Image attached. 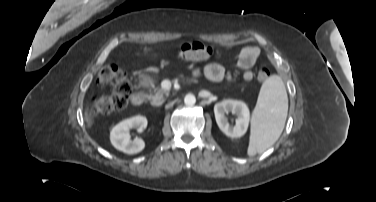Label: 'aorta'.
Instances as JSON below:
<instances>
[{"label": "aorta", "instance_id": "1", "mask_svg": "<svg viewBox=\"0 0 376 202\" xmlns=\"http://www.w3.org/2000/svg\"><path fill=\"white\" fill-rule=\"evenodd\" d=\"M184 103L186 105L192 106L196 103V97L193 94H187L184 98Z\"/></svg>", "mask_w": 376, "mask_h": 202}]
</instances>
